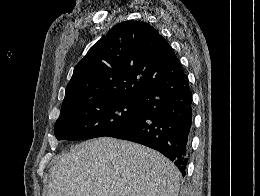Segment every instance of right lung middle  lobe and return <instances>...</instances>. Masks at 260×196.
<instances>
[{
	"instance_id": "1",
	"label": "right lung middle lobe",
	"mask_w": 260,
	"mask_h": 196,
	"mask_svg": "<svg viewBox=\"0 0 260 196\" xmlns=\"http://www.w3.org/2000/svg\"><path fill=\"white\" fill-rule=\"evenodd\" d=\"M138 98L101 95L61 109L55 123L58 140H86L109 136L143 119Z\"/></svg>"
}]
</instances>
